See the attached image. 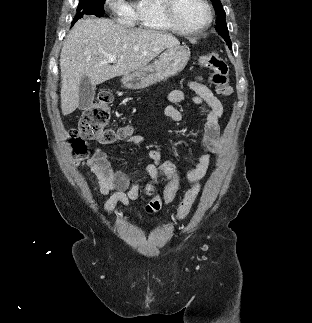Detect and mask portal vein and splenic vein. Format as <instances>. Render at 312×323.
Instances as JSON below:
<instances>
[{
    "label": "portal vein and splenic vein",
    "instance_id": "1",
    "mask_svg": "<svg viewBox=\"0 0 312 323\" xmlns=\"http://www.w3.org/2000/svg\"><path fill=\"white\" fill-rule=\"evenodd\" d=\"M107 60L109 64H113V62H116L117 56H108Z\"/></svg>",
    "mask_w": 312,
    "mask_h": 323
}]
</instances>
